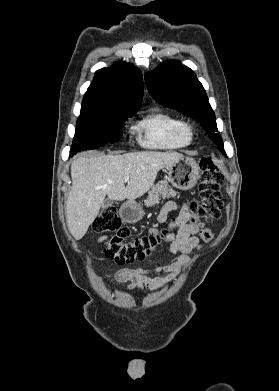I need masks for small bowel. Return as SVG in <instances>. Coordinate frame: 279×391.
Instances as JSON below:
<instances>
[{
	"label": "small bowel",
	"instance_id": "small-bowel-1",
	"mask_svg": "<svg viewBox=\"0 0 279 391\" xmlns=\"http://www.w3.org/2000/svg\"><path fill=\"white\" fill-rule=\"evenodd\" d=\"M172 211H179V216L172 223L177 228L175 234H170L166 241L170 242L169 251L176 255V258L165 265H158L153 269L124 268L116 273V279L121 282H128L127 289L132 291L145 288L154 291L159 287L171 282L181 267L189 263L188 254L200 248L198 234L202 231L203 225L190 221V213L187 205L179 206L175 202H168L162 208L158 221L164 223L167 216ZM159 230L151 229V234L158 233ZM107 237H101L98 241L103 242ZM165 272V277H151L153 273Z\"/></svg>",
	"mask_w": 279,
	"mask_h": 391
}]
</instances>
